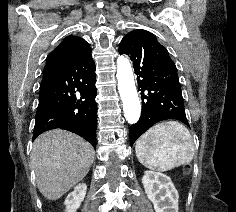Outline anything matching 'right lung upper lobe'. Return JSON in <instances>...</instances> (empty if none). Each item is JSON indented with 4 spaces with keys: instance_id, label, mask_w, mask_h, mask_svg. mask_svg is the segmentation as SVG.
I'll use <instances>...</instances> for the list:
<instances>
[{
    "instance_id": "1",
    "label": "right lung upper lobe",
    "mask_w": 236,
    "mask_h": 212,
    "mask_svg": "<svg viewBox=\"0 0 236 212\" xmlns=\"http://www.w3.org/2000/svg\"><path fill=\"white\" fill-rule=\"evenodd\" d=\"M89 44L77 36H67L63 41L48 55L44 69L54 67L62 62L76 57Z\"/></svg>"
}]
</instances>
